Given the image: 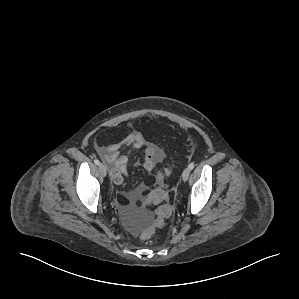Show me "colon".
<instances>
[{"instance_id": "5ec220e1", "label": "colon", "mask_w": 299, "mask_h": 299, "mask_svg": "<svg viewBox=\"0 0 299 299\" xmlns=\"http://www.w3.org/2000/svg\"><path fill=\"white\" fill-rule=\"evenodd\" d=\"M173 171V168H168L164 172L156 174V182L159 185L152 190L145 198L144 203H156L161 204L156 210V219L152 225L141 232V237L144 239L150 238L159 228L164 224V221L171 215L172 206L169 201V194L165 188L160 185L163 184L166 177H168Z\"/></svg>"}]
</instances>
